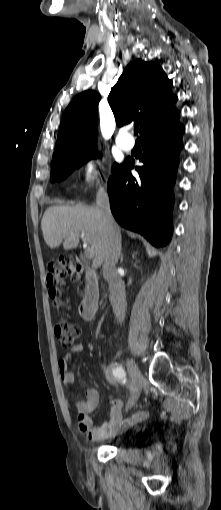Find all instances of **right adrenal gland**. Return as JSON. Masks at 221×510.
Returning a JSON list of instances; mask_svg holds the SVG:
<instances>
[{
    "label": "right adrenal gland",
    "mask_w": 221,
    "mask_h": 510,
    "mask_svg": "<svg viewBox=\"0 0 221 510\" xmlns=\"http://www.w3.org/2000/svg\"><path fill=\"white\" fill-rule=\"evenodd\" d=\"M121 261H123V254H121Z\"/></svg>",
    "instance_id": "right-adrenal-gland-1"
}]
</instances>
